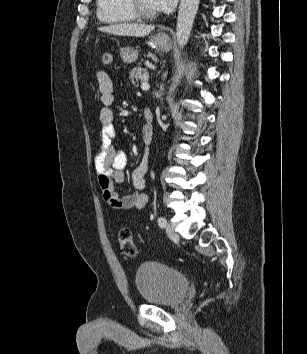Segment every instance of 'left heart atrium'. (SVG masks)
Here are the masks:
<instances>
[{
	"label": "left heart atrium",
	"instance_id": "obj_1",
	"mask_svg": "<svg viewBox=\"0 0 307 354\" xmlns=\"http://www.w3.org/2000/svg\"><path fill=\"white\" fill-rule=\"evenodd\" d=\"M153 7L157 11H167L175 6L177 0H151Z\"/></svg>",
	"mask_w": 307,
	"mask_h": 354
}]
</instances>
